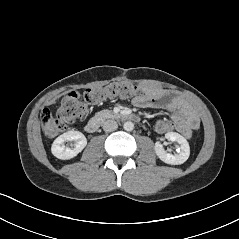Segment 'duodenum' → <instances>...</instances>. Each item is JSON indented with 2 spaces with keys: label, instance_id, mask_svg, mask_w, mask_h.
Listing matches in <instances>:
<instances>
[{
  "label": "duodenum",
  "instance_id": "duodenum-1",
  "mask_svg": "<svg viewBox=\"0 0 239 239\" xmlns=\"http://www.w3.org/2000/svg\"><path fill=\"white\" fill-rule=\"evenodd\" d=\"M119 117L123 120H130V121L139 120V116L134 113H121L119 114ZM101 122H102V117H99V116L93 117L87 122L85 126V130L88 133H94L100 128Z\"/></svg>",
  "mask_w": 239,
  "mask_h": 239
}]
</instances>
